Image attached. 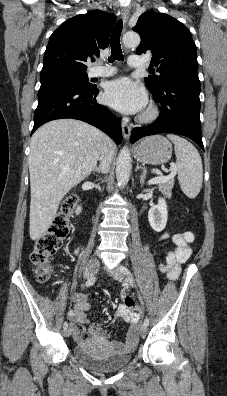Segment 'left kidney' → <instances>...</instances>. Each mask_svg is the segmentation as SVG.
I'll use <instances>...</instances> for the list:
<instances>
[{
  "label": "left kidney",
  "mask_w": 227,
  "mask_h": 396,
  "mask_svg": "<svg viewBox=\"0 0 227 396\" xmlns=\"http://www.w3.org/2000/svg\"><path fill=\"white\" fill-rule=\"evenodd\" d=\"M168 219L167 204L165 199L159 198L158 204L150 208L148 221L152 229L156 232L164 230Z\"/></svg>",
  "instance_id": "left-kidney-1"
}]
</instances>
